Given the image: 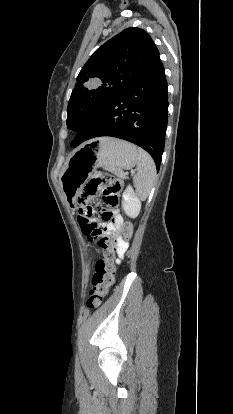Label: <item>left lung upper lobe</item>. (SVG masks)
Listing matches in <instances>:
<instances>
[{
	"label": "left lung upper lobe",
	"instance_id": "left-lung-upper-lobe-1",
	"mask_svg": "<svg viewBox=\"0 0 233 414\" xmlns=\"http://www.w3.org/2000/svg\"><path fill=\"white\" fill-rule=\"evenodd\" d=\"M159 56L151 37L130 27L100 46L80 71L67 109V128L81 130Z\"/></svg>",
	"mask_w": 233,
	"mask_h": 414
}]
</instances>
